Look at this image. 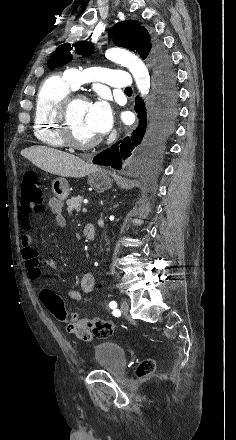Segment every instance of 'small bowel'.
<instances>
[{"label": "small bowel", "instance_id": "c3829d8e", "mask_svg": "<svg viewBox=\"0 0 236 440\" xmlns=\"http://www.w3.org/2000/svg\"><path fill=\"white\" fill-rule=\"evenodd\" d=\"M50 211L55 215L56 222L58 225L63 226L65 224V219L62 214L63 203L60 199L54 197L50 199L48 203ZM24 234L21 236L20 243L22 247V257L26 261V268L30 277L34 280H38L42 276V270L39 264L38 253L31 246V236L28 234L31 228V222L29 219L22 218L21 222ZM47 263L51 266V260H47ZM95 285L94 276L91 273H84L80 281V290L70 289L68 294L69 297L74 300H81L82 296L88 294L92 291ZM43 290H41L42 292ZM40 292V294H41ZM40 300L45 306L41 296ZM46 307V306H45ZM69 333H75L77 339H87L90 337V332L87 331V326L85 324H69L66 327Z\"/></svg>", "mask_w": 236, "mask_h": 440}]
</instances>
